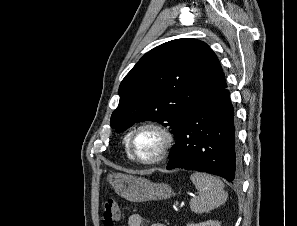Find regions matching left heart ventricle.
Returning a JSON list of instances; mask_svg holds the SVG:
<instances>
[{
  "mask_svg": "<svg viewBox=\"0 0 297 226\" xmlns=\"http://www.w3.org/2000/svg\"><path fill=\"white\" fill-rule=\"evenodd\" d=\"M160 135L151 129L140 131L134 139V149L141 158H150L155 155L161 145Z\"/></svg>",
  "mask_w": 297,
  "mask_h": 226,
  "instance_id": "left-heart-ventricle-1",
  "label": "left heart ventricle"
}]
</instances>
